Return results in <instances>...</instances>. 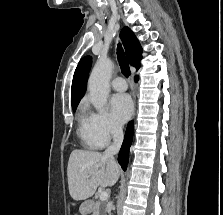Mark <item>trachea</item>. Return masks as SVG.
<instances>
[{
    "label": "trachea",
    "instance_id": "obj_1",
    "mask_svg": "<svg viewBox=\"0 0 223 215\" xmlns=\"http://www.w3.org/2000/svg\"><path fill=\"white\" fill-rule=\"evenodd\" d=\"M117 58L123 75H125V77H129V75H131V71L125 58V54L121 44H118L117 47Z\"/></svg>",
    "mask_w": 223,
    "mask_h": 215
}]
</instances>
